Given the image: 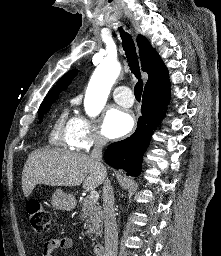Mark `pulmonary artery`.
I'll return each instance as SVG.
<instances>
[{
    "mask_svg": "<svg viewBox=\"0 0 221 256\" xmlns=\"http://www.w3.org/2000/svg\"><path fill=\"white\" fill-rule=\"evenodd\" d=\"M114 100L124 107H130L134 103L132 91L127 86H118L113 90Z\"/></svg>",
    "mask_w": 221,
    "mask_h": 256,
    "instance_id": "pulmonary-artery-1",
    "label": "pulmonary artery"
}]
</instances>
